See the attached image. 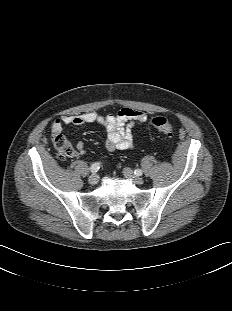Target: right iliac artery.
Wrapping results in <instances>:
<instances>
[{
    "instance_id": "1",
    "label": "right iliac artery",
    "mask_w": 232,
    "mask_h": 311,
    "mask_svg": "<svg viewBox=\"0 0 232 311\" xmlns=\"http://www.w3.org/2000/svg\"><path fill=\"white\" fill-rule=\"evenodd\" d=\"M101 163L100 162H95L94 164L91 165L90 171L92 173H96L100 169Z\"/></svg>"
}]
</instances>
